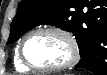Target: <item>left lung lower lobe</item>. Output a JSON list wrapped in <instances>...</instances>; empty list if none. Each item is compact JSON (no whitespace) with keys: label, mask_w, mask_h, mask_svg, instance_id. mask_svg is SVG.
Masks as SVG:
<instances>
[{"label":"left lung lower lobe","mask_w":107,"mask_h":75,"mask_svg":"<svg viewBox=\"0 0 107 75\" xmlns=\"http://www.w3.org/2000/svg\"><path fill=\"white\" fill-rule=\"evenodd\" d=\"M84 6L97 16L100 15V18L107 16V0H85ZM90 32H86L82 41L84 51L75 67L85 68L98 75H107V40L101 41Z\"/></svg>","instance_id":"1"}]
</instances>
